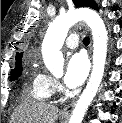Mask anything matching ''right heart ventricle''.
<instances>
[{"mask_svg":"<svg viewBox=\"0 0 122 123\" xmlns=\"http://www.w3.org/2000/svg\"><path fill=\"white\" fill-rule=\"evenodd\" d=\"M29 93L30 96L36 101H48L52 95L49 87L48 77L44 74L34 71L32 73Z\"/></svg>","mask_w":122,"mask_h":123,"instance_id":"1","label":"right heart ventricle"}]
</instances>
